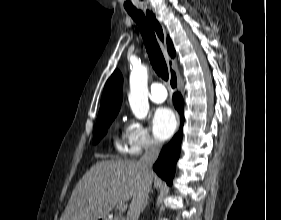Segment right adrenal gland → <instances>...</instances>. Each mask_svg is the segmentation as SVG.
Here are the masks:
<instances>
[{"label":"right adrenal gland","instance_id":"right-adrenal-gland-1","mask_svg":"<svg viewBox=\"0 0 281 220\" xmlns=\"http://www.w3.org/2000/svg\"><path fill=\"white\" fill-rule=\"evenodd\" d=\"M148 200H149V198H147L146 199V201H145V203H144V205H143V207H142V211L145 209V207L148 205Z\"/></svg>","mask_w":281,"mask_h":220}]
</instances>
